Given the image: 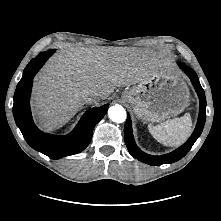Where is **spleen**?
I'll return each mask as SVG.
<instances>
[{"label": "spleen", "instance_id": "1", "mask_svg": "<svg viewBox=\"0 0 221 221\" xmlns=\"http://www.w3.org/2000/svg\"><path fill=\"white\" fill-rule=\"evenodd\" d=\"M148 130L159 143L176 147L183 144L191 134V116L186 113L180 118L167 120L159 125H148Z\"/></svg>", "mask_w": 221, "mask_h": 221}]
</instances>
